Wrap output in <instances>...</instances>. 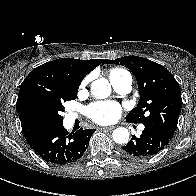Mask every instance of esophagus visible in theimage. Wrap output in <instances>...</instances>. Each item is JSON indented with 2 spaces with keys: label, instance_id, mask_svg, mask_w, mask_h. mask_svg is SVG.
Here are the masks:
<instances>
[{
  "label": "esophagus",
  "instance_id": "obj_1",
  "mask_svg": "<svg viewBox=\"0 0 196 196\" xmlns=\"http://www.w3.org/2000/svg\"><path fill=\"white\" fill-rule=\"evenodd\" d=\"M103 130H109V131H111V130H113L114 129V126H110V127H104V128H102Z\"/></svg>",
  "mask_w": 196,
  "mask_h": 196
}]
</instances>
